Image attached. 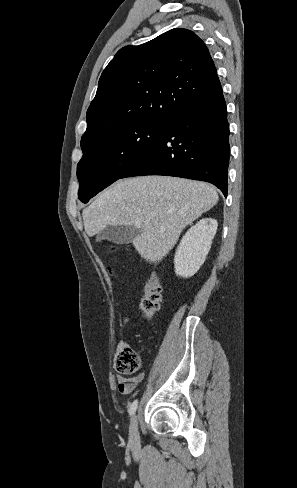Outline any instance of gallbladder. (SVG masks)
I'll return each instance as SVG.
<instances>
[{
    "instance_id": "obj_1",
    "label": "gallbladder",
    "mask_w": 297,
    "mask_h": 488,
    "mask_svg": "<svg viewBox=\"0 0 297 488\" xmlns=\"http://www.w3.org/2000/svg\"><path fill=\"white\" fill-rule=\"evenodd\" d=\"M141 233V229L134 225L108 226L101 230L98 240H109L115 244H128Z\"/></svg>"
}]
</instances>
